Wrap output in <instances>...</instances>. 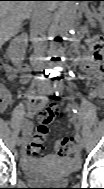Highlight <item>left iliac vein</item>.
Listing matches in <instances>:
<instances>
[{
  "label": "left iliac vein",
  "instance_id": "1",
  "mask_svg": "<svg viewBox=\"0 0 104 189\" xmlns=\"http://www.w3.org/2000/svg\"><path fill=\"white\" fill-rule=\"evenodd\" d=\"M53 90H50V93H52ZM77 143H78V148L81 150L84 148L85 146V143L83 141V139H81V137H78L77 138Z\"/></svg>",
  "mask_w": 104,
  "mask_h": 189
}]
</instances>
